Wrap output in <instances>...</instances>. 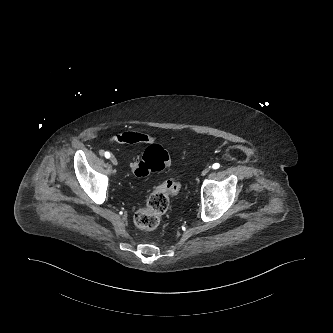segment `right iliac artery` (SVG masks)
I'll return each instance as SVG.
<instances>
[{"label":"right iliac artery","instance_id":"right-iliac-artery-1","mask_svg":"<svg viewBox=\"0 0 333 333\" xmlns=\"http://www.w3.org/2000/svg\"><path fill=\"white\" fill-rule=\"evenodd\" d=\"M104 155H105L106 158H110V153L109 152H105Z\"/></svg>","mask_w":333,"mask_h":333}]
</instances>
